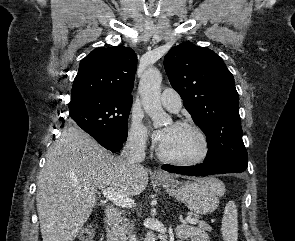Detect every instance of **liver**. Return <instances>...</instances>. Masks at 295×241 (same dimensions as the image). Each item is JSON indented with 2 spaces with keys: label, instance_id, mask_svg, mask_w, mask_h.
<instances>
[{
  "label": "liver",
  "instance_id": "6515ba94",
  "mask_svg": "<svg viewBox=\"0 0 295 241\" xmlns=\"http://www.w3.org/2000/svg\"><path fill=\"white\" fill-rule=\"evenodd\" d=\"M212 184L214 179H203ZM149 181L146 168L130 169L83 131L69 127L48 149L37 182L43 241H74L97 203L100 189L131 197Z\"/></svg>",
  "mask_w": 295,
  "mask_h": 241
}]
</instances>
